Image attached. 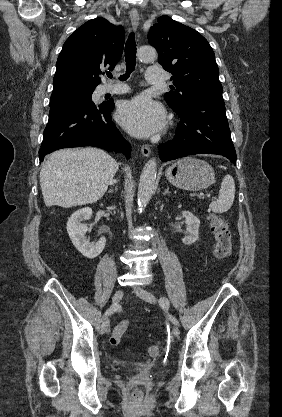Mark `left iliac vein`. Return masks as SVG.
Returning <instances> with one entry per match:
<instances>
[{
  "mask_svg": "<svg viewBox=\"0 0 282 417\" xmlns=\"http://www.w3.org/2000/svg\"><path fill=\"white\" fill-rule=\"evenodd\" d=\"M134 292L138 297H140L141 299H143L144 301H146L148 303L154 304L156 302L155 296L152 293H150V292H148V291H146L142 288L137 287V288L134 289ZM172 334L175 337L179 336L180 330L177 326L173 327Z\"/></svg>",
  "mask_w": 282,
  "mask_h": 417,
  "instance_id": "obj_1",
  "label": "left iliac vein"
}]
</instances>
